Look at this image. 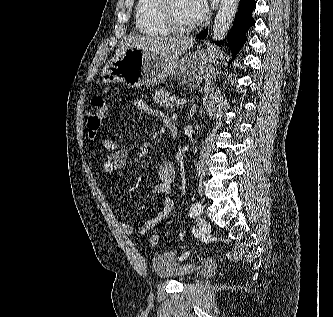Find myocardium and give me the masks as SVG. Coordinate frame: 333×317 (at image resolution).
<instances>
[{"label":"myocardium","instance_id":"myocardium-1","mask_svg":"<svg viewBox=\"0 0 333 317\" xmlns=\"http://www.w3.org/2000/svg\"><path fill=\"white\" fill-rule=\"evenodd\" d=\"M173 0H155V13L161 25L170 33L184 36L196 29V24L190 27L178 26L171 17V4Z\"/></svg>","mask_w":333,"mask_h":317}]
</instances>
